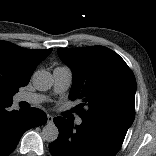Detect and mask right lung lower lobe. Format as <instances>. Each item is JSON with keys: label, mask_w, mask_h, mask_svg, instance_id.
<instances>
[{"label": "right lung lower lobe", "mask_w": 156, "mask_h": 156, "mask_svg": "<svg viewBox=\"0 0 156 156\" xmlns=\"http://www.w3.org/2000/svg\"><path fill=\"white\" fill-rule=\"evenodd\" d=\"M11 105H0V156H8L26 130L47 122L46 114L37 108L10 112Z\"/></svg>", "instance_id": "98d812e1"}]
</instances>
